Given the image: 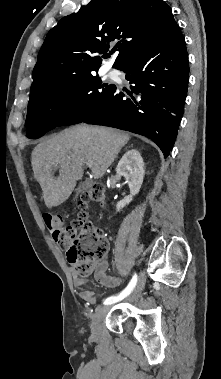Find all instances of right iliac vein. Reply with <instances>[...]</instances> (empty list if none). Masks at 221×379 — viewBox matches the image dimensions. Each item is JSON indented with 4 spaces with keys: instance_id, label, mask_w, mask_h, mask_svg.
<instances>
[{
    "instance_id": "right-iliac-vein-1",
    "label": "right iliac vein",
    "mask_w": 221,
    "mask_h": 379,
    "mask_svg": "<svg viewBox=\"0 0 221 379\" xmlns=\"http://www.w3.org/2000/svg\"><path fill=\"white\" fill-rule=\"evenodd\" d=\"M144 284H145V277H144V275H142L139 279V282H138L136 288L134 289V291L132 292V294L130 295V297L128 299L134 300L139 295V293L142 291ZM109 309H110V306L100 307V308H98L97 312L93 316L92 323H91V332H92L93 336H97L98 331H99L100 322L102 321L104 316L107 314Z\"/></svg>"
}]
</instances>
